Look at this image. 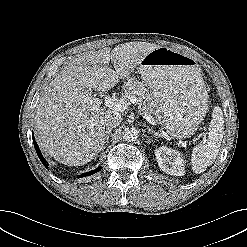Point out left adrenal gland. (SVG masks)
<instances>
[{
    "mask_svg": "<svg viewBox=\"0 0 247 247\" xmlns=\"http://www.w3.org/2000/svg\"><path fill=\"white\" fill-rule=\"evenodd\" d=\"M147 132H148L149 134L153 133V131H151L150 128L147 130Z\"/></svg>",
    "mask_w": 247,
    "mask_h": 247,
    "instance_id": "a2214340",
    "label": "left adrenal gland"
}]
</instances>
